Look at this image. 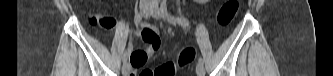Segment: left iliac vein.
<instances>
[{
  "label": "left iliac vein",
  "instance_id": "left-iliac-vein-1",
  "mask_svg": "<svg viewBox=\"0 0 333 76\" xmlns=\"http://www.w3.org/2000/svg\"><path fill=\"white\" fill-rule=\"evenodd\" d=\"M150 14L157 19H164L172 24H174V21L172 20V18H168L164 15L163 12H161V10L158 8V6L156 4H153L152 6V10L150 12ZM196 73L198 76H204L205 75V68L203 66L202 63H198L196 66Z\"/></svg>",
  "mask_w": 333,
  "mask_h": 76
}]
</instances>
